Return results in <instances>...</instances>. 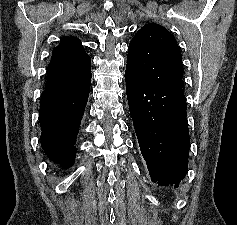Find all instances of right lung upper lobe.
Returning a JSON list of instances; mask_svg holds the SVG:
<instances>
[{
    "mask_svg": "<svg viewBox=\"0 0 237 225\" xmlns=\"http://www.w3.org/2000/svg\"><path fill=\"white\" fill-rule=\"evenodd\" d=\"M91 58L76 37H63L53 50L46 90L74 89L91 80Z\"/></svg>",
    "mask_w": 237,
    "mask_h": 225,
    "instance_id": "right-lung-upper-lobe-1",
    "label": "right lung upper lobe"
}]
</instances>
